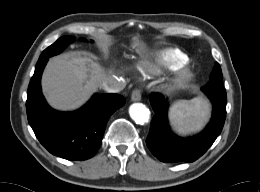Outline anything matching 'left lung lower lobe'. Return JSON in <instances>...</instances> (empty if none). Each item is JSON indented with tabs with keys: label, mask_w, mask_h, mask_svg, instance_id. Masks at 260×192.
I'll return each instance as SVG.
<instances>
[{
	"label": "left lung lower lobe",
	"mask_w": 260,
	"mask_h": 192,
	"mask_svg": "<svg viewBox=\"0 0 260 192\" xmlns=\"http://www.w3.org/2000/svg\"><path fill=\"white\" fill-rule=\"evenodd\" d=\"M201 90L213 105L212 118L207 127L198 135L181 138L174 135L166 118L168 102L164 96L152 94L150 103L155 112L146 144L160 161L193 162L202 156L219 136L226 117V92L222 85H206Z\"/></svg>",
	"instance_id": "obj_1"
}]
</instances>
